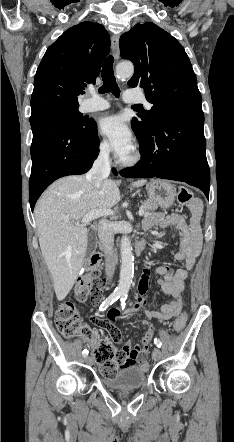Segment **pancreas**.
<instances>
[{
	"mask_svg": "<svg viewBox=\"0 0 234 442\" xmlns=\"http://www.w3.org/2000/svg\"><path fill=\"white\" fill-rule=\"evenodd\" d=\"M141 208L145 211V212H152L154 210H156L158 208V204L155 202H152L150 200H147L145 202H142Z\"/></svg>",
	"mask_w": 234,
	"mask_h": 442,
	"instance_id": "cf45deb5",
	"label": "pancreas"
}]
</instances>
